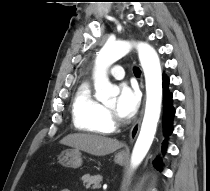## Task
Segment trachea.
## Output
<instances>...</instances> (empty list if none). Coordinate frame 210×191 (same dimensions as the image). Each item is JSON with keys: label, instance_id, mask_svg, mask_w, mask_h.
Wrapping results in <instances>:
<instances>
[{"label": "trachea", "instance_id": "trachea-1", "mask_svg": "<svg viewBox=\"0 0 210 191\" xmlns=\"http://www.w3.org/2000/svg\"><path fill=\"white\" fill-rule=\"evenodd\" d=\"M140 73H141V70H140L138 67H135V68H134V74H135L136 76H139Z\"/></svg>", "mask_w": 210, "mask_h": 191}]
</instances>
